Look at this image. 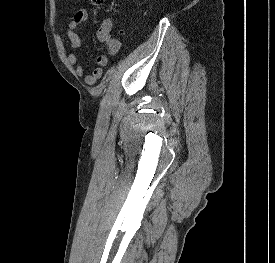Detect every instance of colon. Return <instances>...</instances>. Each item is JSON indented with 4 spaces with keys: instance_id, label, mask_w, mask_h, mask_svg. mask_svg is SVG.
Segmentation results:
<instances>
[{
    "instance_id": "1",
    "label": "colon",
    "mask_w": 275,
    "mask_h": 263,
    "mask_svg": "<svg viewBox=\"0 0 275 263\" xmlns=\"http://www.w3.org/2000/svg\"><path fill=\"white\" fill-rule=\"evenodd\" d=\"M91 1L95 5H100L103 2V0H91Z\"/></svg>"
}]
</instances>
